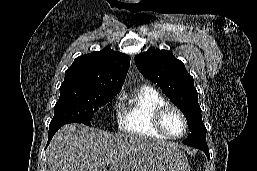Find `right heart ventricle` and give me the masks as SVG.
Here are the masks:
<instances>
[{"mask_svg": "<svg viewBox=\"0 0 257 171\" xmlns=\"http://www.w3.org/2000/svg\"><path fill=\"white\" fill-rule=\"evenodd\" d=\"M167 103L165 97L155 88H139L123 107L119 118L120 130L133 135L168 139L153 124L156 110Z\"/></svg>", "mask_w": 257, "mask_h": 171, "instance_id": "1", "label": "right heart ventricle"}]
</instances>
